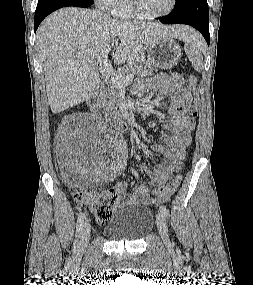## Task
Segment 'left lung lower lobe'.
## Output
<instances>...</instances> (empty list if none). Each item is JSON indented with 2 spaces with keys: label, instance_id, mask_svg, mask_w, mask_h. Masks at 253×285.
Listing matches in <instances>:
<instances>
[{
  "label": "left lung lower lobe",
  "instance_id": "obj_1",
  "mask_svg": "<svg viewBox=\"0 0 253 285\" xmlns=\"http://www.w3.org/2000/svg\"><path fill=\"white\" fill-rule=\"evenodd\" d=\"M158 19L164 24L191 25L202 33L208 45L210 43L207 0H177L173 12Z\"/></svg>",
  "mask_w": 253,
  "mask_h": 285
}]
</instances>
